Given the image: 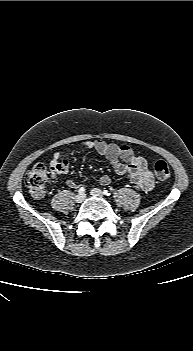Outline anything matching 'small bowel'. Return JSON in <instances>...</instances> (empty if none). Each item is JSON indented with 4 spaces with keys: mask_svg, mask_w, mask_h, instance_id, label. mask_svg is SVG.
Listing matches in <instances>:
<instances>
[{
    "mask_svg": "<svg viewBox=\"0 0 193 351\" xmlns=\"http://www.w3.org/2000/svg\"><path fill=\"white\" fill-rule=\"evenodd\" d=\"M83 146L95 150L98 154L104 156L112 165L114 171L126 176L137 189L141 191H150L154 186V179L149 169L147 161L136 155L127 145H117L108 143L103 140H86ZM51 177L55 180L58 175L66 174L70 169V159L66 152L54 153L50 161ZM99 183L107 186L111 183L108 175H102ZM67 185L70 188H77L78 182L69 179Z\"/></svg>",
    "mask_w": 193,
    "mask_h": 351,
    "instance_id": "obj_1",
    "label": "small bowel"
}]
</instances>
